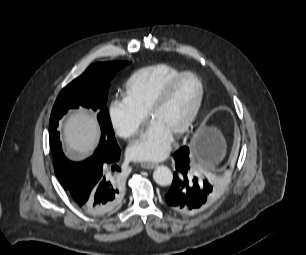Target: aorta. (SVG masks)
Wrapping results in <instances>:
<instances>
[{
	"label": "aorta",
	"mask_w": 306,
	"mask_h": 255,
	"mask_svg": "<svg viewBox=\"0 0 306 255\" xmlns=\"http://www.w3.org/2000/svg\"><path fill=\"white\" fill-rule=\"evenodd\" d=\"M153 179L160 186H168L173 181V173L167 166H158L153 172Z\"/></svg>",
	"instance_id": "aorta-1"
}]
</instances>
